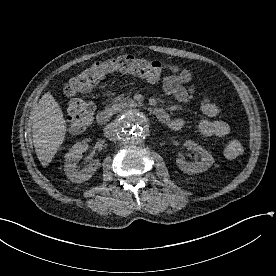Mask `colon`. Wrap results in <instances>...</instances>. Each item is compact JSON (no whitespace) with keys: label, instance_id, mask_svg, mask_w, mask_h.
<instances>
[{"label":"colon","instance_id":"colon-1","mask_svg":"<svg viewBox=\"0 0 276 276\" xmlns=\"http://www.w3.org/2000/svg\"><path fill=\"white\" fill-rule=\"evenodd\" d=\"M163 72L164 68L160 62L133 55H122L93 63L72 78L65 86V93L70 97L68 103L69 128L73 131H81L91 124L94 105L78 98L77 95L91 91L108 75L127 73L156 82L162 78ZM243 152L244 146L239 138L233 137L227 141L224 148L226 157L236 158Z\"/></svg>","mask_w":276,"mask_h":276}]
</instances>
